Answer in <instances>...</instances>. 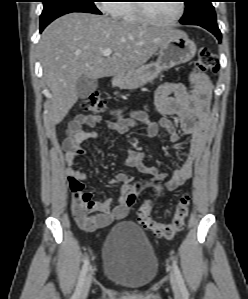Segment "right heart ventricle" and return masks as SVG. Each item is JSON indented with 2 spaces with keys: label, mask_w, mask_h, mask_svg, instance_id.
I'll use <instances>...</instances> for the list:
<instances>
[{
  "label": "right heart ventricle",
  "mask_w": 248,
  "mask_h": 299,
  "mask_svg": "<svg viewBox=\"0 0 248 299\" xmlns=\"http://www.w3.org/2000/svg\"><path fill=\"white\" fill-rule=\"evenodd\" d=\"M130 2L133 1L126 0L116 3L113 15L127 24L139 25L145 23L137 11L136 5Z\"/></svg>",
  "instance_id": "e07e8e85"
}]
</instances>
